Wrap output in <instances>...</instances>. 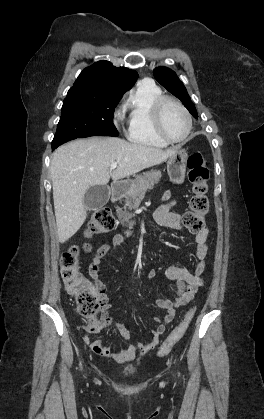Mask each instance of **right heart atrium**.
Masks as SVG:
<instances>
[{"label": "right heart atrium", "instance_id": "right-heart-atrium-1", "mask_svg": "<svg viewBox=\"0 0 264 419\" xmlns=\"http://www.w3.org/2000/svg\"><path fill=\"white\" fill-rule=\"evenodd\" d=\"M121 120H122V117H121L120 115H117V116L115 117V123H116V125H119V124H120V122H121Z\"/></svg>", "mask_w": 264, "mask_h": 419}]
</instances>
